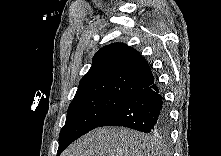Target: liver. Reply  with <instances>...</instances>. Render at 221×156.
<instances>
[{
  "mask_svg": "<svg viewBox=\"0 0 221 156\" xmlns=\"http://www.w3.org/2000/svg\"><path fill=\"white\" fill-rule=\"evenodd\" d=\"M153 137L124 127L97 128L70 145L61 156H160Z\"/></svg>",
  "mask_w": 221,
  "mask_h": 156,
  "instance_id": "obj_1",
  "label": "liver"
}]
</instances>
